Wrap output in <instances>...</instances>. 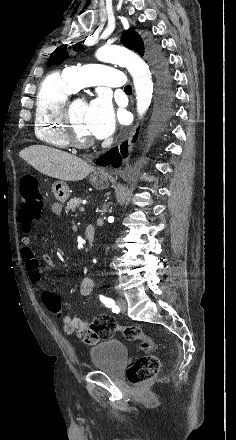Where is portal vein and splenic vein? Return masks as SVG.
Wrapping results in <instances>:
<instances>
[{"instance_id":"18ae733b","label":"portal vein and splenic vein","mask_w":236,"mask_h":440,"mask_svg":"<svg viewBox=\"0 0 236 440\" xmlns=\"http://www.w3.org/2000/svg\"><path fill=\"white\" fill-rule=\"evenodd\" d=\"M81 212H83L85 209H84V207H80V209H79Z\"/></svg>"}]
</instances>
